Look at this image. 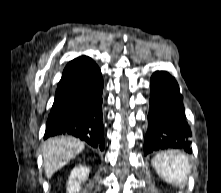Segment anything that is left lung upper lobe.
Instances as JSON below:
<instances>
[{
    "instance_id": "1",
    "label": "left lung upper lobe",
    "mask_w": 221,
    "mask_h": 193,
    "mask_svg": "<svg viewBox=\"0 0 221 193\" xmlns=\"http://www.w3.org/2000/svg\"><path fill=\"white\" fill-rule=\"evenodd\" d=\"M165 118H166L167 120H170V117H169V115H167V113H165Z\"/></svg>"
}]
</instances>
